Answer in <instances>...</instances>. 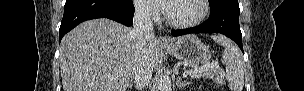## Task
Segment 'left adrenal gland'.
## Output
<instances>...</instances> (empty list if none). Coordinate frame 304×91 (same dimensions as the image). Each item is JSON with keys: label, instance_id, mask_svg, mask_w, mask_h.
<instances>
[{"label": "left adrenal gland", "instance_id": "obj_1", "mask_svg": "<svg viewBox=\"0 0 304 91\" xmlns=\"http://www.w3.org/2000/svg\"><path fill=\"white\" fill-rule=\"evenodd\" d=\"M190 82H187V81H182V79L180 77H177L176 78V85L177 87L179 88H184L185 86L189 85Z\"/></svg>", "mask_w": 304, "mask_h": 91}]
</instances>
